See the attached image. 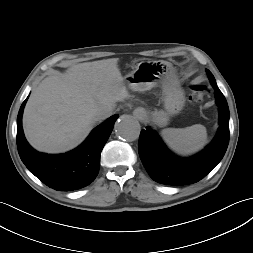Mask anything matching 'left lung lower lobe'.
<instances>
[{
	"instance_id": "left-lung-lower-lobe-1",
	"label": "left lung lower lobe",
	"mask_w": 253,
	"mask_h": 253,
	"mask_svg": "<svg viewBox=\"0 0 253 253\" xmlns=\"http://www.w3.org/2000/svg\"><path fill=\"white\" fill-rule=\"evenodd\" d=\"M216 103L219 107V130L213 141L199 154L179 158L172 154L150 127L142 130L138 151L150 177L161 184L189 185L204 178L223 158L229 143V108L217 85Z\"/></svg>"
}]
</instances>
